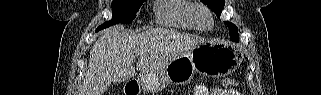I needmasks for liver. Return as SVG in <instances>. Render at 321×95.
I'll list each match as a JSON object with an SVG mask.
<instances>
[{
  "instance_id": "1",
  "label": "liver",
  "mask_w": 321,
  "mask_h": 95,
  "mask_svg": "<svg viewBox=\"0 0 321 95\" xmlns=\"http://www.w3.org/2000/svg\"><path fill=\"white\" fill-rule=\"evenodd\" d=\"M204 41L164 29L129 34L121 26H114L103 31L92 46L88 69L77 95H103L112 82L133 78L136 57V69L142 74L152 73Z\"/></svg>"
}]
</instances>
